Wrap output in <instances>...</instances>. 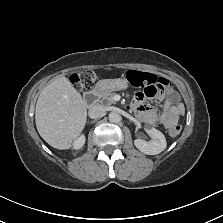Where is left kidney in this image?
Returning a JSON list of instances; mask_svg holds the SVG:
<instances>
[{
	"instance_id": "obj_1",
	"label": "left kidney",
	"mask_w": 223,
	"mask_h": 223,
	"mask_svg": "<svg viewBox=\"0 0 223 223\" xmlns=\"http://www.w3.org/2000/svg\"><path fill=\"white\" fill-rule=\"evenodd\" d=\"M150 135L152 141L146 142L142 139H136V147L145 154L153 155L162 152L166 148V140L163 134L155 128L145 129Z\"/></svg>"
}]
</instances>
